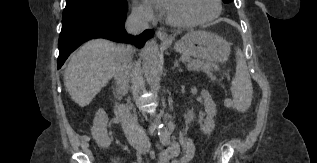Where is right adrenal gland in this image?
Wrapping results in <instances>:
<instances>
[{
  "label": "right adrenal gland",
  "instance_id": "2a0ac1e0",
  "mask_svg": "<svg viewBox=\"0 0 317 163\" xmlns=\"http://www.w3.org/2000/svg\"><path fill=\"white\" fill-rule=\"evenodd\" d=\"M112 88H113V94L116 96L117 88L115 86H112Z\"/></svg>",
  "mask_w": 317,
  "mask_h": 163
}]
</instances>
